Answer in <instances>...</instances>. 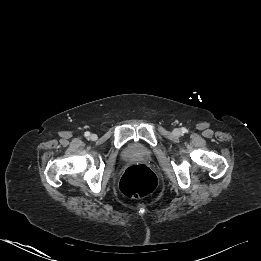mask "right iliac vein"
<instances>
[{"instance_id":"obj_1","label":"right iliac vein","mask_w":261,"mask_h":261,"mask_svg":"<svg viewBox=\"0 0 261 261\" xmlns=\"http://www.w3.org/2000/svg\"><path fill=\"white\" fill-rule=\"evenodd\" d=\"M90 139H91L92 141H95V140L97 139V135H96V134H92V135L90 136Z\"/></svg>"}]
</instances>
